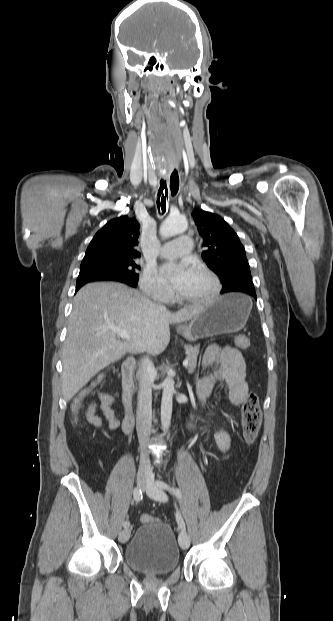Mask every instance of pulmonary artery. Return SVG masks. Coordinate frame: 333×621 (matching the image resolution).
<instances>
[{"label":"pulmonary artery","mask_w":333,"mask_h":621,"mask_svg":"<svg viewBox=\"0 0 333 621\" xmlns=\"http://www.w3.org/2000/svg\"><path fill=\"white\" fill-rule=\"evenodd\" d=\"M192 239L187 235H182L174 241L164 243L160 250V256L164 258H175L187 255L192 250Z\"/></svg>","instance_id":"pulmonary-artery-1"}]
</instances>
